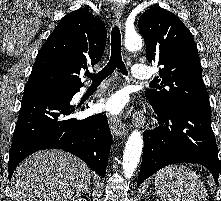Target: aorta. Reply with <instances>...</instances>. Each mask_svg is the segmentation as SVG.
Listing matches in <instances>:
<instances>
[{
	"mask_svg": "<svg viewBox=\"0 0 221 201\" xmlns=\"http://www.w3.org/2000/svg\"><path fill=\"white\" fill-rule=\"evenodd\" d=\"M128 51H137L142 48V38L137 34L129 35L125 39ZM143 148V139L140 131L135 130L130 135L125 145L123 154V173L126 178H131L139 163Z\"/></svg>",
	"mask_w": 221,
	"mask_h": 201,
	"instance_id": "obj_1",
	"label": "aorta"
}]
</instances>
